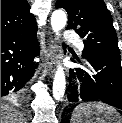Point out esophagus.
Wrapping results in <instances>:
<instances>
[{"mask_svg": "<svg viewBox=\"0 0 122 123\" xmlns=\"http://www.w3.org/2000/svg\"><path fill=\"white\" fill-rule=\"evenodd\" d=\"M55 53H56V41L53 36H50L47 44V68L51 73L54 72L55 65Z\"/></svg>", "mask_w": 122, "mask_h": 123, "instance_id": "34e87169", "label": "esophagus"}]
</instances>
